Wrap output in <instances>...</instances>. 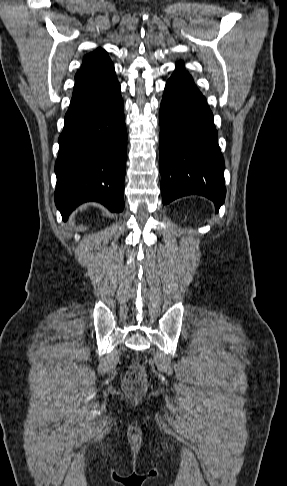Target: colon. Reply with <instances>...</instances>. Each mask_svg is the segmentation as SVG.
<instances>
[{
  "label": "colon",
  "mask_w": 287,
  "mask_h": 486,
  "mask_svg": "<svg viewBox=\"0 0 287 486\" xmlns=\"http://www.w3.org/2000/svg\"><path fill=\"white\" fill-rule=\"evenodd\" d=\"M123 388L132 397H137L144 392L146 388V374L140 364H133L129 367L123 381Z\"/></svg>",
  "instance_id": "1"
}]
</instances>
